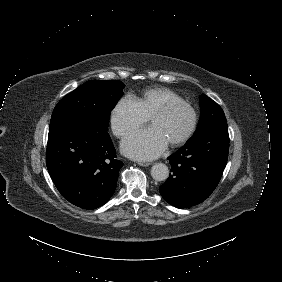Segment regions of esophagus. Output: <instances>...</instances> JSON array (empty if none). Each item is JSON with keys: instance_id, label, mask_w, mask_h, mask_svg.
<instances>
[{"instance_id": "34e87169", "label": "esophagus", "mask_w": 282, "mask_h": 282, "mask_svg": "<svg viewBox=\"0 0 282 282\" xmlns=\"http://www.w3.org/2000/svg\"><path fill=\"white\" fill-rule=\"evenodd\" d=\"M138 164H139L140 166H143V167H146V166H149V165H150L149 162H144V161H139Z\"/></svg>"}]
</instances>
